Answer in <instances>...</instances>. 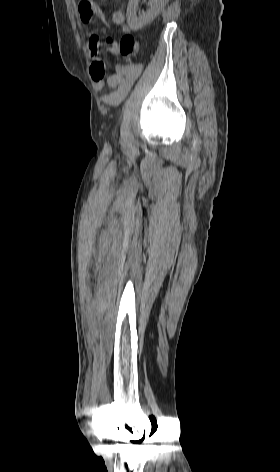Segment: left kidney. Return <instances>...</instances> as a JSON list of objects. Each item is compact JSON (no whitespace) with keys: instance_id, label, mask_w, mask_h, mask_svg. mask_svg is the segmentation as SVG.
<instances>
[{"instance_id":"1","label":"left kidney","mask_w":280,"mask_h":472,"mask_svg":"<svg viewBox=\"0 0 280 472\" xmlns=\"http://www.w3.org/2000/svg\"><path fill=\"white\" fill-rule=\"evenodd\" d=\"M167 1L168 0H149V9L137 16L136 8L139 0H130L127 7V22L129 27L133 30H139L150 23L160 13Z\"/></svg>"}]
</instances>
